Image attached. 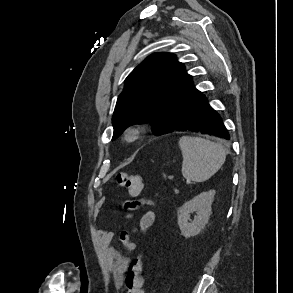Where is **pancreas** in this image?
Listing matches in <instances>:
<instances>
[{"mask_svg":"<svg viewBox=\"0 0 293 293\" xmlns=\"http://www.w3.org/2000/svg\"><path fill=\"white\" fill-rule=\"evenodd\" d=\"M175 193L177 194L178 193V190H175Z\"/></svg>","mask_w":293,"mask_h":293,"instance_id":"cf45deb5","label":"pancreas"}]
</instances>
